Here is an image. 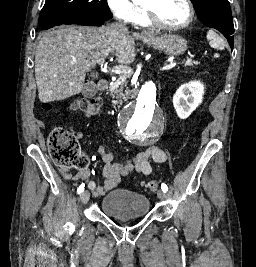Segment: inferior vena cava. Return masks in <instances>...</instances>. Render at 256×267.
I'll return each mask as SVG.
<instances>
[{
  "label": "inferior vena cava",
  "instance_id": "obj_1",
  "mask_svg": "<svg viewBox=\"0 0 256 267\" xmlns=\"http://www.w3.org/2000/svg\"><path fill=\"white\" fill-rule=\"evenodd\" d=\"M111 28H115V30H119V32H128V28L124 22H114V24H109Z\"/></svg>",
  "mask_w": 256,
  "mask_h": 267
}]
</instances>
